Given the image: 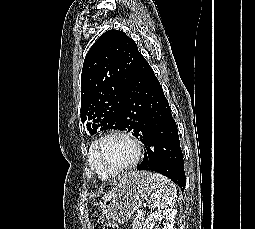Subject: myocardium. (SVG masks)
<instances>
[{
	"instance_id": "1",
	"label": "myocardium",
	"mask_w": 255,
	"mask_h": 229,
	"mask_svg": "<svg viewBox=\"0 0 255 229\" xmlns=\"http://www.w3.org/2000/svg\"><path fill=\"white\" fill-rule=\"evenodd\" d=\"M113 136H119V137H123L124 139H126L134 148V158L133 160L128 164L125 165L123 167H119V168H109L106 167L97 157V150L99 145L107 138L109 137H113ZM90 152L92 154V158L98 163V165L109 175V176H117L120 175L122 173H125L131 169H133L140 157H141V146L139 144V142L137 141V139H135L131 134L122 131V130H111L108 131L104 134H102L101 136H99L91 145L90 147Z\"/></svg>"
}]
</instances>
